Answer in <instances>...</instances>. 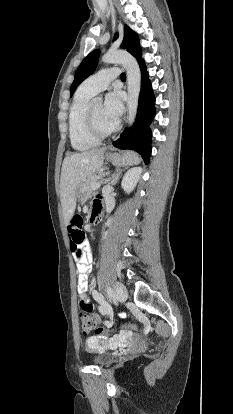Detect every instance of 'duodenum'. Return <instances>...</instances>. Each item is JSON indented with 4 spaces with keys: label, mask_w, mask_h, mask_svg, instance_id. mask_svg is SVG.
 I'll return each mask as SVG.
<instances>
[{
    "label": "duodenum",
    "mask_w": 233,
    "mask_h": 414,
    "mask_svg": "<svg viewBox=\"0 0 233 414\" xmlns=\"http://www.w3.org/2000/svg\"><path fill=\"white\" fill-rule=\"evenodd\" d=\"M99 215H100L99 209L96 208L92 213L91 220L96 221L98 219Z\"/></svg>",
    "instance_id": "duodenum-1"
}]
</instances>
